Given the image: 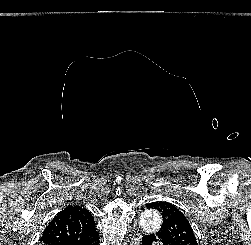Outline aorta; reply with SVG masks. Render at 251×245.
Segmentation results:
<instances>
[{"mask_svg":"<svg viewBox=\"0 0 251 245\" xmlns=\"http://www.w3.org/2000/svg\"><path fill=\"white\" fill-rule=\"evenodd\" d=\"M140 225L148 233L157 232L162 225L160 214L153 210L144 211L140 216Z\"/></svg>","mask_w":251,"mask_h":245,"instance_id":"1","label":"aorta"}]
</instances>
